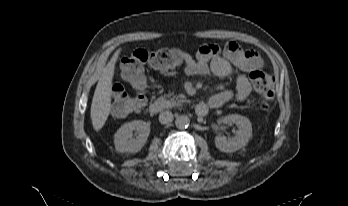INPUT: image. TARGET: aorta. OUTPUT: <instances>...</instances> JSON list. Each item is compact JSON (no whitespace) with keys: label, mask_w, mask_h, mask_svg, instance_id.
I'll list each match as a JSON object with an SVG mask.
<instances>
[{"label":"aorta","mask_w":348,"mask_h":206,"mask_svg":"<svg viewBox=\"0 0 348 206\" xmlns=\"http://www.w3.org/2000/svg\"><path fill=\"white\" fill-rule=\"evenodd\" d=\"M189 124H190V119L185 115H180L175 120V126L178 129H185L189 126Z\"/></svg>","instance_id":"1"}]
</instances>
